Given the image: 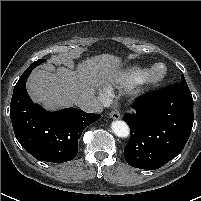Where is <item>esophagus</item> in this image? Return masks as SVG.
<instances>
[{
  "mask_svg": "<svg viewBox=\"0 0 201 201\" xmlns=\"http://www.w3.org/2000/svg\"><path fill=\"white\" fill-rule=\"evenodd\" d=\"M109 116L111 119H114V120H118L121 118V115L119 113V111L117 109H113L110 113H109Z\"/></svg>",
  "mask_w": 201,
  "mask_h": 201,
  "instance_id": "obj_1",
  "label": "esophagus"
}]
</instances>
